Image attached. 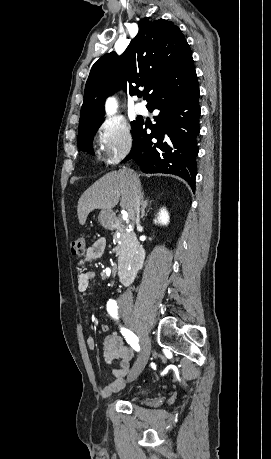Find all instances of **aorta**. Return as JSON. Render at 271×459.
Masks as SVG:
<instances>
[{
	"mask_svg": "<svg viewBox=\"0 0 271 459\" xmlns=\"http://www.w3.org/2000/svg\"><path fill=\"white\" fill-rule=\"evenodd\" d=\"M116 102L113 98L109 99L106 103V110L108 114H112L115 110Z\"/></svg>",
	"mask_w": 271,
	"mask_h": 459,
	"instance_id": "762f6f07",
	"label": "aorta"
}]
</instances>
